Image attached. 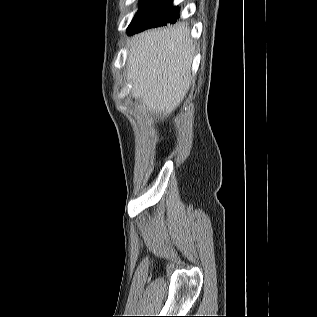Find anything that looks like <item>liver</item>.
Masks as SVG:
<instances>
[{"instance_id": "6515ba94", "label": "liver", "mask_w": 317, "mask_h": 317, "mask_svg": "<svg viewBox=\"0 0 317 317\" xmlns=\"http://www.w3.org/2000/svg\"><path fill=\"white\" fill-rule=\"evenodd\" d=\"M127 80L150 112L171 114L186 96L195 47L182 25L152 29L129 41Z\"/></svg>"}]
</instances>
